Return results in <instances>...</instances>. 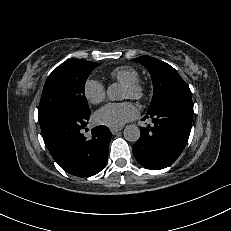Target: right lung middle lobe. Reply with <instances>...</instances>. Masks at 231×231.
Returning <instances> with one entry per match:
<instances>
[{"mask_svg": "<svg viewBox=\"0 0 231 231\" xmlns=\"http://www.w3.org/2000/svg\"><path fill=\"white\" fill-rule=\"evenodd\" d=\"M98 65L90 61L69 59L49 75L39 104L40 126L61 115L91 112L84 86L89 74Z\"/></svg>", "mask_w": 231, "mask_h": 231, "instance_id": "obj_1", "label": "right lung middle lobe"}]
</instances>
